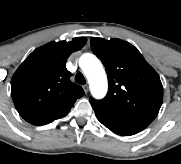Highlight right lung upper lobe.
I'll use <instances>...</instances> for the list:
<instances>
[{"label": "right lung upper lobe", "mask_w": 181, "mask_h": 164, "mask_svg": "<svg viewBox=\"0 0 181 164\" xmlns=\"http://www.w3.org/2000/svg\"><path fill=\"white\" fill-rule=\"evenodd\" d=\"M85 37L71 42H51L34 50L11 80V96L19 114L33 125H45L65 116L84 95L82 87L70 81L66 61L80 50Z\"/></svg>", "instance_id": "1"}]
</instances>
